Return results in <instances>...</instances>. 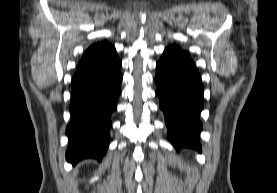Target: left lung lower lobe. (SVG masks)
Returning a JSON list of instances; mask_svg holds the SVG:
<instances>
[{"label": "left lung lower lobe", "instance_id": "0a47b994", "mask_svg": "<svg viewBox=\"0 0 277 193\" xmlns=\"http://www.w3.org/2000/svg\"><path fill=\"white\" fill-rule=\"evenodd\" d=\"M156 94L165 115L168 137L176 149H201L199 121L203 109L201 76L187 52L172 45L157 62Z\"/></svg>", "mask_w": 277, "mask_h": 193}]
</instances>
